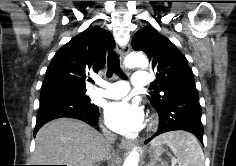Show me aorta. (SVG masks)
Returning a JSON list of instances; mask_svg holds the SVG:
<instances>
[{
    "instance_id": "obj_1",
    "label": "aorta",
    "mask_w": 236,
    "mask_h": 166,
    "mask_svg": "<svg viewBox=\"0 0 236 166\" xmlns=\"http://www.w3.org/2000/svg\"><path fill=\"white\" fill-rule=\"evenodd\" d=\"M125 65L128 68H135V67L146 68L148 66V61L146 60V57L144 55L133 53L130 54L125 59ZM138 162H139V154L136 151V149H134L125 159L122 166H138Z\"/></svg>"
}]
</instances>
